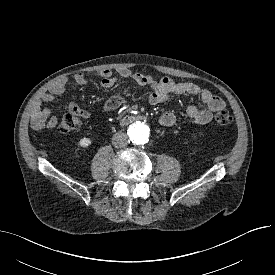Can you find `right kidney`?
Segmentation results:
<instances>
[{
    "mask_svg": "<svg viewBox=\"0 0 275 275\" xmlns=\"http://www.w3.org/2000/svg\"><path fill=\"white\" fill-rule=\"evenodd\" d=\"M91 143H92L91 139L86 138V137L80 139V141H79V145L82 148H87L88 146L91 145Z\"/></svg>",
    "mask_w": 275,
    "mask_h": 275,
    "instance_id": "ca27d5eb",
    "label": "right kidney"
}]
</instances>
